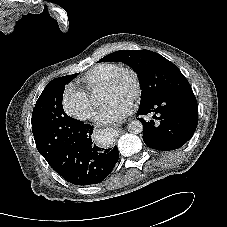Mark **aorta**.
<instances>
[{
    "label": "aorta",
    "mask_w": 227,
    "mask_h": 227,
    "mask_svg": "<svg viewBox=\"0 0 227 227\" xmlns=\"http://www.w3.org/2000/svg\"><path fill=\"white\" fill-rule=\"evenodd\" d=\"M127 129L132 134H139L143 131V125L139 120L129 122Z\"/></svg>",
    "instance_id": "aorta-1"
}]
</instances>
